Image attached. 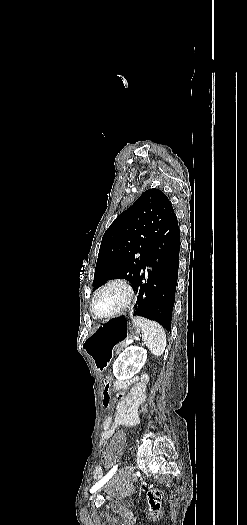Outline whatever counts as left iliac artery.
<instances>
[{"instance_id": "left-iliac-artery-1", "label": "left iliac artery", "mask_w": 247, "mask_h": 525, "mask_svg": "<svg viewBox=\"0 0 247 525\" xmlns=\"http://www.w3.org/2000/svg\"><path fill=\"white\" fill-rule=\"evenodd\" d=\"M118 465H115L99 482H97L91 489L90 493H94L97 489L103 486L116 472Z\"/></svg>"}]
</instances>
